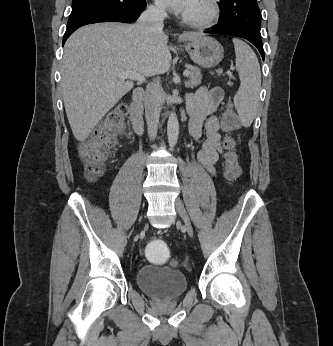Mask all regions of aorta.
I'll return each mask as SVG.
<instances>
[{
  "label": "aorta",
  "mask_w": 333,
  "mask_h": 346,
  "mask_svg": "<svg viewBox=\"0 0 333 346\" xmlns=\"http://www.w3.org/2000/svg\"><path fill=\"white\" fill-rule=\"evenodd\" d=\"M179 123L175 112L169 115L167 123V136L168 142L171 147L175 146L178 141Z\"/></svg>",
  "instance_id": "obj_1"
}]
</instances>
